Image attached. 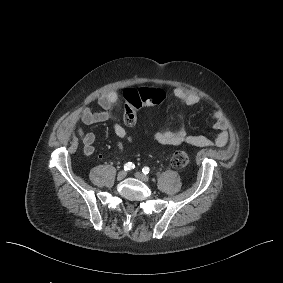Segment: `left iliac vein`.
<instances>
[{
  "instance_id": "left-iliac-vein-1",
  "label": "left iliac vein",
  "mask_w": 283,
  "mask_h": 283,
  "mask_svg": "<svg viewBox=\"0 0 283 283\" xmlns=\"http://www.w3.org/2000/svg\"><path fill=\"white\" fill-rule=\"evenodd\" d=\"M135 177L143 182H149V177L144 175L143 173L141 172H136L135 173Z\"/></svg>"
}]
</instances>
